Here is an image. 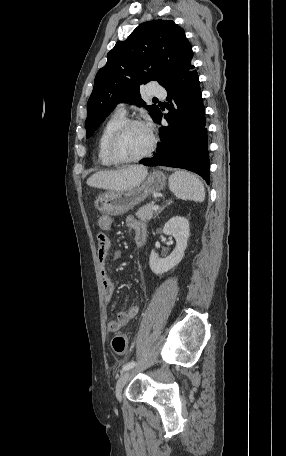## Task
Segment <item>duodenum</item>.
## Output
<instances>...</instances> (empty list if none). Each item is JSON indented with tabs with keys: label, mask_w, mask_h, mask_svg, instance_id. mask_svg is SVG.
<instances>
[{
	"label": "duodenum",
	"mask_w": 286,
	"mask_h": 456,
	"mask_svg": "<svg viewBox=\"0 0 286 456\" xmlns=\"http://www.w3.org/2000/svg\"><path fill=\"white\" fill-rule=\"evenodd\" d=\"M145 241H146V236L141 235L140 237H138L136 239V244H137V246L140 247V246L144 245Z\"/></svg>",
	"instance_id": "410a0bca"
}]
</instances>
